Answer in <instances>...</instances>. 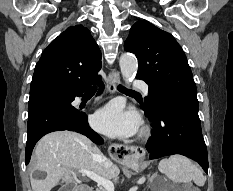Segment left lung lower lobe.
<instances>
[{
  "label": "left lung lower lobe",
  "instance_id": "left-lung-lower-lobe-1",
  "mask_svg": "<svg viewBox=\"0 0 233 191\" xmlns=\"http://www.w3.org/2000/svg\"><path fill=\"white\" fill-rule=\"evenodd\" d=\"M198 108V102L180 96L158 97L148 109L143 108L153 127L146 144L150 159L181 154L197 161L208 174L207 148Z\"/></svg>",
  "mask_w": 233,
  "mask_h": 191
}]
</instances>
